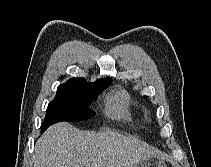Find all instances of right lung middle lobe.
<instances>
[{"instance_id": "1", "label": "right lung middle lobe", "mask_w": 211, "mask_h": 167, "mask_svg": "<svg viewBox=\"0 0 211 167\" xmlns=\"http://www.w3.org/2000/svg\"><path fill=\"white\" fill-rule=\"evenodd\" d=\"M110 83L111 81L84 83L57 89L55 98L48 104L41 131L44 132L57 122H76L93 117L94 112L88 106Z\"/></svg>"}]
</instances>
